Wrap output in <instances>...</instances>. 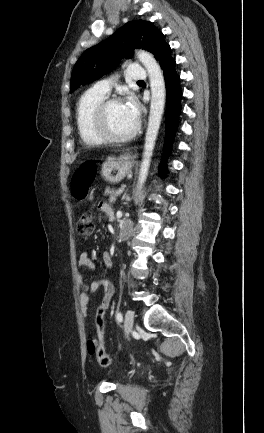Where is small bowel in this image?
<instances>
[{
	"label": "small bowel",
	"mask_w": 264,
	"mask_h": 433,
	"mask_svg": "<svg viewBox=\"0 0 264 433\" xmlns=\"http://www.w3.org/2000/svg\"><path fill=\"white\" fill-rule=\"evenodd\" d=\"M98 210L105 213L110 218H113L114 212L108 203H106L104 201H100L98 203ZM104 262L108 267H113L115 265V261H114V259L110 253H106L104 255ZM78 264H79V266L85 267L88 269L94 268V263L89 258L88 254L86 252H83L80 254L79 259H78ZM77 283L80 286V288L82 289V292L80 294V309H81L82 315L84 317L88 316L90 293H95L97 290H99L101 288L104 291V298H103L102 302L107 307L109 306V303H110V301L113 297V294H114V286L109 280L99 279V280H96V281H94L88 285L84 282L82 275L78 274L77 275ZM98 345H99V343H98L97 339H95V338L89 339L87 341V345H86L88 353L90 355H95L97 353Z\"/></svg>",
	"instance_id": "obj_1"
}]
</instances>
